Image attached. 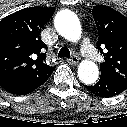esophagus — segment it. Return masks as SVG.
<instances>
[{"label":"esophagus","mask_w":127,"mask_h":127,"mask_svg":"<svg viewBox=\"0 0 127 127\" xmlns=\"http://www.w3.org/2000/svg\"><path fill=\"white\" fill-rule=\"evenodd\" d=\"M67 62L71 65H76L79 62V58L77 56H73L70 59H67Z\"/></svg>","instance_id":"esophagus-1"}]
</instances>
